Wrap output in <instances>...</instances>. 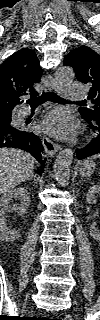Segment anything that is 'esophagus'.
<instances>
[{
    "label": "esophagus",
    "instance_id": "esophagus-1",
    "mask_svg": "<svg viewBox=\"0 0 100 320\" xmlns=\"http://www.w3.org/2000/svg\"><path fill=\"white\" fill-rule=\"evenodd\" d=\"M44 83L48 88L56 92L60 91V86L51 75H47L44 78ZM42 144L48 156H53L60 150V145L54 143L46 136H42Z\"/></svg>",
    "mask_w": 100,
    "mask_h": 320
}]
</instances>
